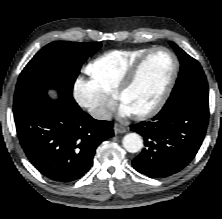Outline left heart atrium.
<instances>
[{"mask_svg":"<svg viewBox=\"0 0 222 219\" xmlns=\"http://www.w3.org/2000/svg\"><path fill=\"white\" fill-rule=\"evenodd\" d=\"M133 115V112L125 104H121L119 107V116L120 117H129Z\"/></svg>","mask_w":222,"mask_h":219,"instance_id":"39dd6f15","label":"left heart atrium"}]
</instances>
